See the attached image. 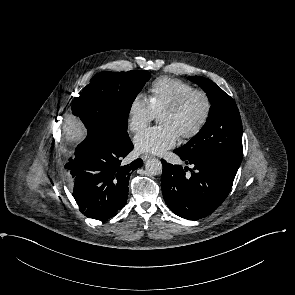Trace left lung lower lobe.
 Instances as JSON below:
<instances>
[{
    "mask_svg": "<svg viewBox=\"0 0 295 295\" xmlns=\"http://www.w3.org/2000/svg\"><path fill=\"white\" fill-rule=\"evenodd\" d=\"M193 169L162 161L161 188L167 206L188 220L204 218L215 211L228 196L237 170L211 157L188 158L174 151ZM190 170L191 175H186Z\"/></svg>",
    "mask_w": 295,
    "mask_h": 295,
    "instance_id": "left-lung-lower-lobe-1",
    "label": "left lung lower lobe"
}]
</instances>
